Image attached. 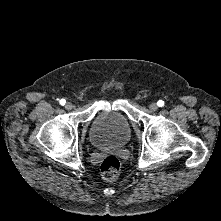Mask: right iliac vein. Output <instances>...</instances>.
<instances>
[{"mask_svg":"<svg viewBox=\"0 0 221 221\" xmlns=\"http://www.w3.org/2000/svg\"><path fill=\"white\" fill-rule=\"evenodd\" d=\"M65 108H66L67 110H71V109L73 108V104H72L71 102H67V103L65 104Z\"/></svg>","mask_w":221,"mask_h":221,"instance_id":"right-iliac-vein-1","label":"right iliac vein"}]
</instances>
